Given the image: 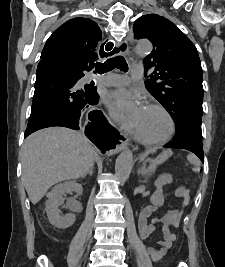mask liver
I'll use <instances>...</instances> for the list:
<instances>
[{
    "mask_svg": "<svg viewBox=\"0 0 225 267\" xmlns=\"http://www.w3.org/2000/svg\"><path fill=\"white\" fill-rule=\"evenodd\" d=\"M94 147L79 132L52 127L26 138L22 146V181L32 204L58 182L84 177L94 163Z\"/></svg>",
    "mask_w": 225,
    "mask_h": 267,
    "instance_id": "liver-1",
    "label": "liver"
}]
</instances>
